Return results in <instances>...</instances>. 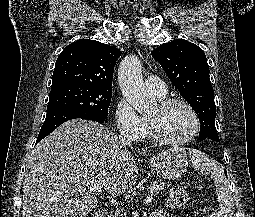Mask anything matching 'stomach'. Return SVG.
I'll return each instance as SVG.
<instances>
[{"label": "stomach", "mask_w": 255, "mask_h": 217, "mask_svg": "<svg viewBox=\"0 0 255 217\" xmlns=\"http://www.w3.org/2000/svg\"><path fill=\"white\" fill-rule=\"evenodd\" d=\"M149 164L162 178L179 179L187 171V154L182 148H170L153 155Z\"/></svg>", "instance_id": "1"}]
</instances>
